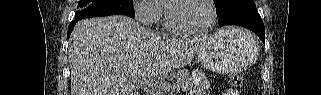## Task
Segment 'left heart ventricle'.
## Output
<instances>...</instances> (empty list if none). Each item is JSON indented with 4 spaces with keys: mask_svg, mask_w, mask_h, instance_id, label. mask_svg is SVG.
<instances>
[{
    "mask_svg": "<svg viewBox=\"0 0 321 95\" xmlns=\"http://www.w3.org/2000/svg\"><path fill=\"white\" fill-rule=\"evenodd\" d=\"M173 19L181 28L203 30L210 23L211 9L203 0H189L174 7Z\"/></svg>",
    "mask_w": 321,
    "mask_h": 95,
    "instance_id": "b2bd125f",
    "label": "left heart ventricle"
}]
</instances>
